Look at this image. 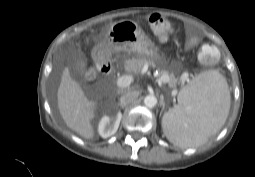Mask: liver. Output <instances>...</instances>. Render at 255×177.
Segmentation results:
<instances>
[{
	"label": "liver",
	"mask_w": 255,
	"mask_h": 177,
	"mask_svg": "<svg viewBox=\"0 0 255 177\" xmlns=\"http://www.w3.org/2000/svg\"><path fill=\"white\" fill-rule=\"evenodd\" d=\"M59 112L66 125L86 139L94 137L91 120L97 103L89 100L79 84L70 76L68 68L63 70L57 91Z\"/></svg>",
	"instance_id": "1"
}]
</instances>
